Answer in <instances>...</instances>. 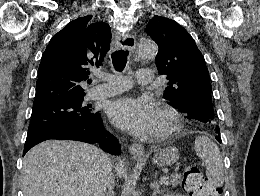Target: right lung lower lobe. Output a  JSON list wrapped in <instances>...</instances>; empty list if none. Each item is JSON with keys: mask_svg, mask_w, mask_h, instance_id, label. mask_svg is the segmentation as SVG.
I'll use <instances>...</instances> for the list:
<instances>
[{"mask_svg": "<svg viewBox=\"0 0 260 196\" xmlns=\"http://www.w3.org/2000/svg\"><path fill=\"white\" fill-rule=\"evenodd\" d=\"M49 139L77 140L90 144L99 143L102 150L114 155L120 154L118 139L104 130L103 121L99 113H95V118L83 125L43 135L26 142L24 145L23 156L36 144Z\"/></svg>", "mask_w": 260, "mask_h": 196, "instance_id": "98d812e1", "label": "right lung lower lobe"}]
</instances>
